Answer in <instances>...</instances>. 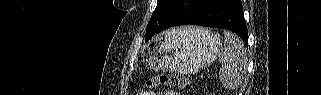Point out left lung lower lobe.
<instances>
[{
	"label": "left lung lower lobe",
	"mask_w": 321,
	"mask_h": 95,
	"mask_svg": "<svg viewBox=\"0 0 321 95\" xmlns=\"http://www.w3.org/2000/svg\"><path fill=\"white\" fill-rule=\"evenodd\" d=\"M188 24L228 29L248 43L240 0H175L154 34L169 27Z\"/></svg>",
	"instance_id": "0a47b994"
}]
</instances>
